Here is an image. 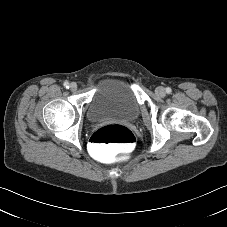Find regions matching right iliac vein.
Returning a JSON list of instances; mask_svg holds the SVG:
<instances>
[{
    "label": "right iliac vein",
    "mask_w": 227,
    "mask_h": 227,
    "mask_svg": "<svg viewBox=\"0 0 227 227\" xmlns=\"http://www.w3.org/2000/svg\"><path fill=\"white\" fill-rule=\"evenodd\" d=\"M69 88H70L71 91H76L77 90V84L73 82V83L70 84Z\"/></svg>",
    "instance_id": "63e3f726"
}]
</instances>
